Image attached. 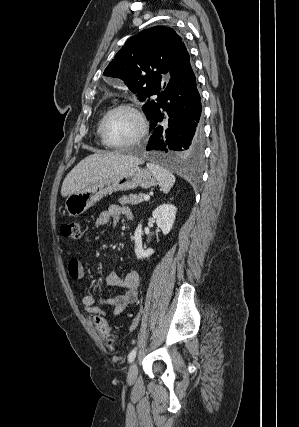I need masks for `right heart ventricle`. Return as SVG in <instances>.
Wrapping results in <instances>:
<instances>
[{"label":"right heart ventricle","mask_w":299,"mask_h":427,"mask_svg":"<svg viewBox=\"0 0 299 427\" xmlns=\"http://www.w3.org/2000/svg\"><path fill=\"white\" fill-rule=\"evenodd\" d=\"M106 113V111H103L101 114H100V117H99V119H98V121H97V124H96V135H97V137H99V132H98V130H99V124H100V122H101V119H102V117L104 116V114Z\"/></svg>","instance_id":"obj_1"}]
</instances>
